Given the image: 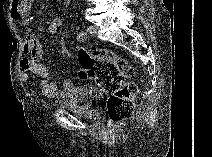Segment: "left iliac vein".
I'll list each match as a JSON object with an SVG mask.
<instances>
[{"instance_id": "4c4485c4", "label": "left iliac vein", "mask_w": 212, "mask_h": 157, "mask_svg": "<svg viewBox=\"0 0 212 157\" xmlns=\"http://www.w3.org/2000/svg\"><path fill=\"white\" fill-rule=\"evenodd\" d=\"M87 31L93 36H95L97 33L96 27L94 25L88 26Z\"/></svg>"}]
</instances>
